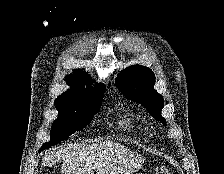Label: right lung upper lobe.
<instances>
[{
    "instance_id": "1",
    "label": "right lung upper lobe",
    "mask_w": 224,
    "mask_h": 174,
    "mask_svg": "<svg viewBox=\"0 0 224 174\" xmlns=\"http://www.w3.org/2000/svg\"><path fill=\"white\" fill-rule=\"evenodd\" d=\"M66 81L71 86V89L60 95L55 100V105L73 104L86 100H99L105 91L102 84H95L94 87H91L92 79L82 70H75L71 75H67ZM85 85H87L86 88Z\"/></svg>"
}]
</instances>
